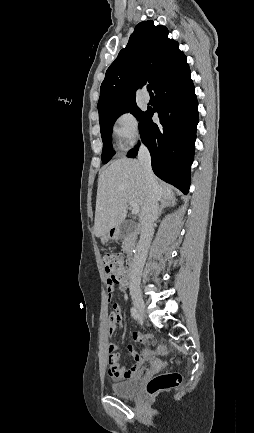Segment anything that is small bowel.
Masks as SVG:
<instances>
[{
    "instance_id": "obj_1",
    "label": "small bowel",
    "mask_w": 254,
    "mask_h": 433,
    "mask_svg": "<svg viewBox=\"0 0 254 433\" xmlns=\"http://www.w3.org/2000/svg\"><path fill=\"white\" fill-rule=\"evenodd\" d=\"M120 291H125L128 287V281L116 284ZM107 290L109 293V299L112 297V291L114 290V284L107 285ZM121 313L120 306L118 304H113L112 312L108 321V334L113 335L118 329L121 328ZM132 339L137 343H147V337L140 332H133ZM107 349V362H108V373L110 377L114 380H125L129 379L138 374L142 364L149 355V350L143 352H138L133 345L127 347L128 353L133 358V363L130 367L125 368L120 364V355L117 353V345L114 343H108Z\"/></svg>"
}]
</instances>
